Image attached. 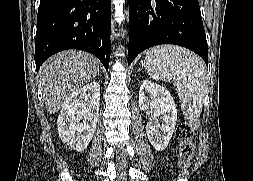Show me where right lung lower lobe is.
I'll use <instances>...</instances> for the list:
<instances>
[{
    "label": "right lung lower lobe",
    "instance_id": "right-lung-lower-lobe-1",
    "mask_svg": "<svg viewBox=\"0 0 253 181\" xmlns=\"http://www.w3.org/2000/svg\"><path fill=\"white\" fill-rule=\"evenodd\" d=\"M111 0H40L35 40L39 70L51 55L80 49L97 56L109 67Z\"/></svg>",
    "mask_w": 253,
    "mask_h": 181
}]
</instances>
